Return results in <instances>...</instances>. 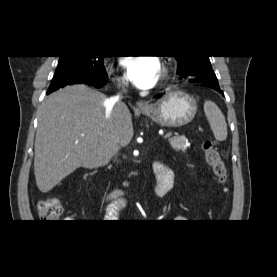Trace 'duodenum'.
<instances>
[{"label": "duodenum", "instance_id": "410a0bca", "mask_svg": "<svg viewBox=\"0 0 277 277\" xmlns=\"http://www.w3.org/2000/svg\"><path fill=\"white\" fill-rule=\"evenodd\" d=\"M159 166V174L160 176L157 178V183L153 185V190L158 196H165L169 190L164 194V195H159L158 194V182L163 181L167 185L170 184L171 182V175L169 173L168 167L163 164L162 162L156 161L155 162ZM125 192L122 189H114L112 191L107 192L105 196L106 202L112 204L114 207V211H117L119 207H121L123 203Z\"/></svg>", "mask_w": 277, "mask_h": 277}]
</instances>
